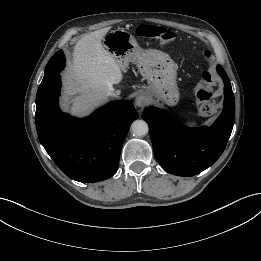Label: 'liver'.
I'll return each mask as SVG.
<instances>
[{
    "label": "liver",
    "mask_w": 261,
    "mask_h": 261,
    "mask_svg": "<svg viewBox=\"0 0 261 261\" xmlns=\"http://www.w3.org/2000/svg\"><path fill=\"white\" fill-rule=\"evenodd\" d=\"M106 32L101 29L85 35L74 47L64 83L73 115L89 114L107 100L113 85L122 81L120 65L101 43Z\"/></svg>",
    "instance_id": "1"
}]
</instances>
